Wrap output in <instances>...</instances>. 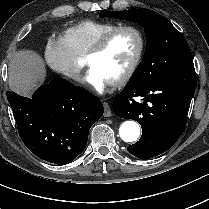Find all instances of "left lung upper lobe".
<instances>
[{
	"instance_id": "1",
	"label": "left lung upper lobe",
	"mask_w": 209,
	"mask_h": 209,
	"mask_svg": "<svg viewBox=\"0 0 209 209\" xmlns=\"http://www.w3.org/2000/svg\"><path fill=\"white\" fill-rule=\"evenodd\" d=\"M112 17L140 24L147 42L143 60L129 82L147 83L194 68L191 50L183 35L163 16L149 9L108 11Z\"/></svg>"
}]
</instances>
